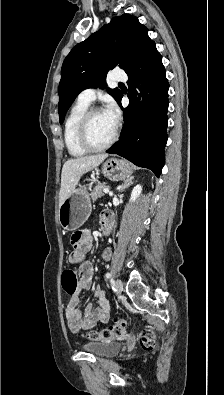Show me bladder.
Wrapping results in <instances>:
<instances>
[{
	"mask_svg": "<svg viewBox=\"0 0 224 395\" xmlns=\"http://www.w3.org/2000/svg\"><path fill=\"white\" fill-rule=\"evenodd\" d=\"M82 348L97 357H109L120 352L121 343L112 341L90 342L84 344Z\"/></svg>",
	"mask_w": 224,
	"mask_h": 395,
	"instance_id": "31cf9c89",
	"label": "bladder"
}]
</instances>
